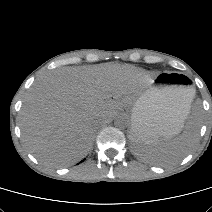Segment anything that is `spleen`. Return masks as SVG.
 Segmentation results:
<instances>
[{
    "mask_svg": "<svg viewBox=\"0 0 212 212\" xmlns=\"http://www.w3.org/2000/svg\"><path fill=\"white\" fill-rule=\"evenodd\" d=\"M195 97V89L189 88L184 94L183 117H188L191 103ZM199 125L191 129L187 125L182 135L161 141L156 144H137L136 155L146 162L156 165H171L183 159L198 136Z\"/></svg>",
    "mask_w": 212,
    "mask_h": 212,
    "instance_id": "spleen-1",
    "label": "spleen"
}]
</instances>
